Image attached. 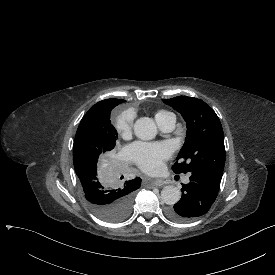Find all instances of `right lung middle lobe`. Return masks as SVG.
Listing matches in <instances>:
<instances>
[{"label":"right lung middle lobe","mask_w":275,"mask_h":275,"mask_svg":"<svg viewBox=\"0 0 275 275\" xmlns=\"http://www.w3.org/2000/svg\"><path fill=\"white\" fill-rule=\"evenodd\" d=\"M117 131L110 112L87 115L81 120L74 140L73 163L80 192L87 205L101 218L124 219L130 212L134 191L141 179L129 180L121 150L115 144Z\"/></svg>","instance_id":"dd1d6c3e"}]
</instances>
